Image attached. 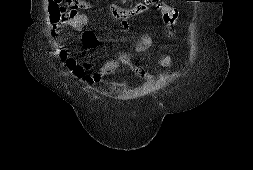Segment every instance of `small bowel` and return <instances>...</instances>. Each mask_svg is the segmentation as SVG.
Returning a JSON list of instances; mask_svg holds the SVG:
<instances>
[{
  "label": "small bowel",
  "instance_id": "obj_1",
  "mask_svg": "<svg viewBox=\"0 0 253 170\" xmlns=\"http://www.w3.org/2000/svg\"><path fill=\"white\" fill-rule=\"evenodd\" d=\"M150 10H158L162 14L163 23L168 27H173L176 18L173 14L176 10L167 5L162 0H157L155 3H148V0H144L136 4L131 8H122L119 5L113 4L110 6V13L113 19L120 23L123 30H128L130 24L128 19L131 17L141 16ZM100 18H92L86 14H78L72 18H66L58 23H55L52 27L53 36L58 42L59 57L65 67L72 73V75L80 79L83 83L92 85L100 82L104 77L111 74L118 67L119 61L126 63L130 66L132 71L140 78L153 80L156 78L168 79L176 76V73H165L156 75L148 72L142 66L130 61L129 55L122 54L120 60H109L100 66H96L91 62H81L75 59L71 53L62 47V43L69 38L76 37L84 46L88 49H94L97 46L98 38L93 30L89 27L93 20ZM70 27L75 31V35L66 34L64 29ZM154 44L151 35L147 34L141 37L134 46L135 52L145 51L150 49ZM158 63L163 68H168L172 65L173 60L169 55L160 56Z\"/></svg>",
  "mask_w": 253,
  "mask_h": 170
}]
</instances>
